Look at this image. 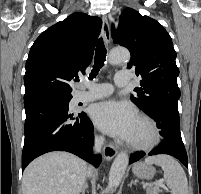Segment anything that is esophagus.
<instances>
[{"mask_svg": "<svg viewBox=\"0 0 201 194\" xmlns=\"http://www.w3.org/2000/svg\"><path fill=\"white\" fill-rule=\"evenodd\" d=\"M102 22H103V27H102L103 39L105 44L108 45L110 43V25L106 15H103ZM116 153H117V149L113 145L111 144L104 145L103 154H104L105 160L107 161L112 160L115 157Z\"/></svg>", "mask_w": 201, "mask_h": 194, "instance_id": "obj_1", "label": "esophagus"}]
</instances>
